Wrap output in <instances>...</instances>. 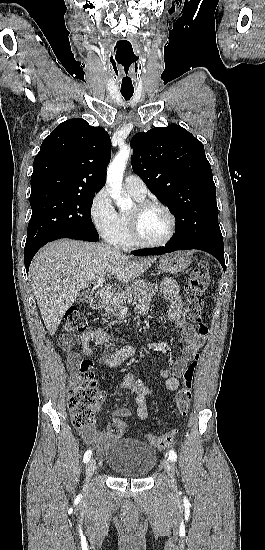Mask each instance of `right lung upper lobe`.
<instances>
[{"label":"right lung upper lobe","instance_id":"1","mask_svg":"<svg viewBox=\"0 0 265 550\" xmlns=\"http://www.w3.org/2000/svg\"><path fill=\"white\" fill-rule=\"evenodd\" d=\"M111 140L84 119L67 120L47 136L35 156L31 192L53 190L95 194L106 180Z\"/></svg>","mask_w":265,"mask_h":550}]
</instances>
